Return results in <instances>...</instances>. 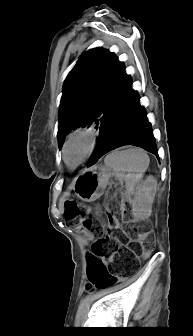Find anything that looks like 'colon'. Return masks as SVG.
I'll use <instances>...</instances> for the list:
<instances>
[{"instance_id":"1","label":"colon","mask_w":193,"mask_h":336,"mask_svg":"<svg viewBox=\"0 0 193 336\" xmlns=\"http://www.w3.org/2000/svg\"><path fill=\"white\" fill-rule=\"evenodd\" d=\"M66 217L72 223L82 219L84 227L91 233L99 235L100 239L92 245V264L88 277L99 289L114 285L118 278L110 272L104 260L118 255L124 262L131 263L134 258L119 245L118 232L121 231L129 243L138 245V251L147 255L154 251L156 240L147 223L133 224L127 219L126 208L118 203H112L107 210V224L100 219L86 217L87 209L76 202H69Z\"/></svg>"}]
</instances>
